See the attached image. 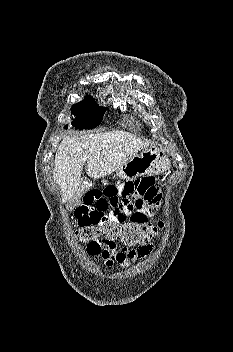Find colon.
<instances>
[{
    "label": "colon",
    "instance_id": "1",
    "mask_svg": "<svg viewBox=\"0 0 233 352\" xmlns=\"http://www.w3.org/2000/svg\"><path fill=\"white\" fill-rule=\"evenodd\" d=\"M162 226V222L137 225L134 223L118 224L110 221L99 225L92 220L79 225L76 238L87 244L107 240H121L128 246L142 245L156 236Z\"/></svg>",
    "mask_w": 233,
    "mask_h": 352
}]
</instances>
